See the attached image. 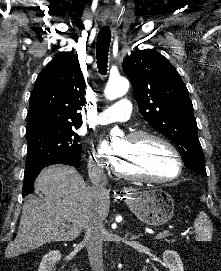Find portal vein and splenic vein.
<instances>
[{
  "label": "portal vein and splenic vein",
  "instance_id": "portal-vein-and-splenic-vein-1",
  "mask_svg": "<svg viewBox=\"0 0 221 271\" xmlns=\"http://www.w3.org/2000/svg\"><path fill=\"white\" fill-rule=\"evenodd\" d=\"M167 235H171L170 231H161L158 235H154V240H163Z\"/></svg>",
  "mask_w": 221,
  "mask_h": 271
}]
</instances>
